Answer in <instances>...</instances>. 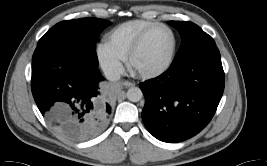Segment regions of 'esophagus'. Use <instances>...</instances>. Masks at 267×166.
Returning <instances> with one entry per match:
<instances>
[{"mask_svg":"<svg viewBox=\"0 0 267 166\" xmlns=\"http://www.w3.org/2000/svg\"><path fill=\"white\" fill-rule=\"evenodd\" d=\"M123 85L126 86V87L134 86V84L132 82H130V81L123 82Z\"/></svg>","mask_w":267,"mask_h":166,"instance_id":"esophagus-1","label":"esophagus"}]
</instances>
